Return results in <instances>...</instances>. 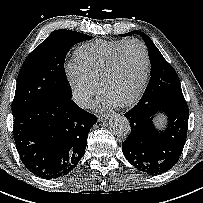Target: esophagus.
<instances>
[{
  "label": "esophagus",
  "mask_w": 203,
  "mask_h": 203,
  "mask_svg": "<svg viewBox=\"0 0 203 203\" xmlns=\"http://www.w3.org/2000/svg\"><path fill=\"white\" fill-rule=\"evenodd\" d=\"M109 117H110V115H108V114H101V115H98L97 118L99 121H104V120H107Z\"/></svg>",
  "instance_id": "34e87169"
}]
</instances>
